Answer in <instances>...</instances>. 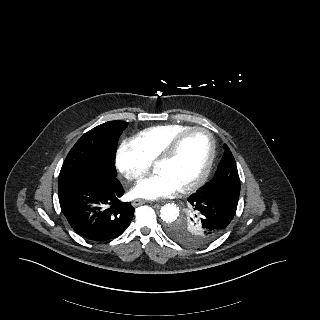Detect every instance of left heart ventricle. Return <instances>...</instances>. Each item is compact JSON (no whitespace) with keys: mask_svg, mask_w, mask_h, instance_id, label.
<instances>
[{"mask_svg":"<svg viewBox=\"0 0 320 320\" xmlns=\"http://www.w3.org/2000/svg\"><path fill=\"white\" fill-rule=\"evenodd\" d=\"M209 151L207 135L202 132L192 133L182 140L175 155L170 160L157 164L155 170L166 174L181 188L202 173Z\"/></svg>","mask_w":320,"mask_h":320,"instance_id":"obj_1","label":"left heart ventricle"}]
</instances>
